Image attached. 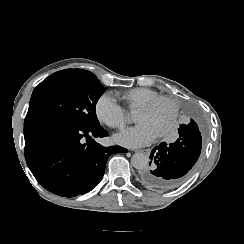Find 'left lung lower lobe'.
I'll return each instance as SVG.
<instances>
[{
  "mask_svg": "<svg viewBox=\"0 0 244 244\" xmlns=\"http://www.w3.org/2000/svg\"><path fill=\"white\" fill-rule=\"evenodd\" d=\"M178 132L175 143L162 142L152 150L150 167L140 172V179L147 186L160 190L176 188L198 160L202 137L196 121L182 124Z\"/></svg>",
  "mask_w": 244,
  "mask_h": 244,
  "instance_id": "obj_1",
  "label": "left lung lower lobe"
}]
</instances>
